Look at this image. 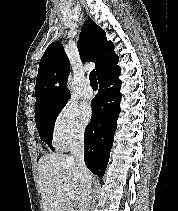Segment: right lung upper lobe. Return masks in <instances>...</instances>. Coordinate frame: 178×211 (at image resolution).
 I'll use <instances>...</instances> for the list:
<instances>
[{
  "mask_svg": "<svg viewBox=\"0 0 178 211\" xmlns=\"http://www.w3.org/2000/svg\"><path fill=\"white\" fill-rule=\"evenodd\" d=\"M78 48L83 61L96 63L98 82L120 70L113 43L107 41L104 30L91 18H88L83 25ZM69 68V59L62 43L59 41L51 43L40 60L36 77V114L51 105L68 101L66 82Z\"/></svg>",
  "mask_w": 178,
  "mask_h": 211,
  "instance_id": "obj_1",
  "label": "right lung upper lobe"
}]
</instances>
